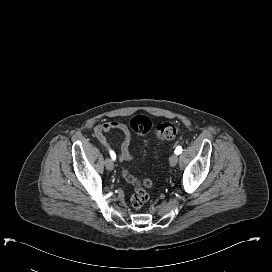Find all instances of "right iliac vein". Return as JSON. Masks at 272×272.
Returning a JSON list of instances; mask_svg holds the SVG:
<instances>
[{"instance_id":"right-iliac-vein-1","label":"right iliac vein","mask_w":272,"mask_h":272,"mask_svg":"<svg viewBox=\"0 0 272 272\" xmlns=\"http://www.w3.org/2000/svg\"><path fill=\"white\" fill-rule=\"evenodd\" d=\"M105 166H106V169L107 170H113L114 169V164H113V162H112V160L110 159V158H107L106 160H105Z\"/></svg>"}]
</instances>
